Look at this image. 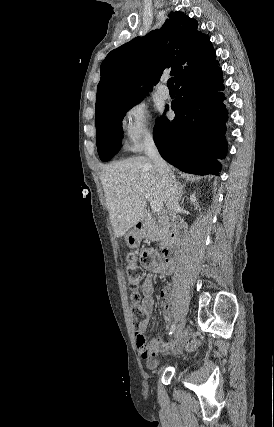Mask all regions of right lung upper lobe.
Wrapping results in <instances>:
<instances>
[{"label":"right lung upper lobe","mask_w":274,"mask_h":427,"mask_svg":"<svg viewBox=\"0 0 274 427\" xmlns=\"http://www.w3.org/2000/svg\"><path fill=\"white\" fill-rule=\"evenodd\" d=\"M168 16L160 29L136 37L106 56L100 67L95 113L143 96L164 72L171 70L176 85L189 73L217 62L209 37L197 30L195 19L182 12Z\"/></svg>","instance_id":"obj_1"}]
</instances>
